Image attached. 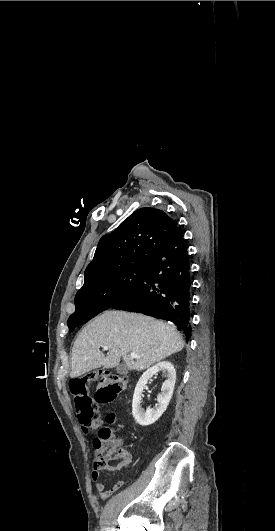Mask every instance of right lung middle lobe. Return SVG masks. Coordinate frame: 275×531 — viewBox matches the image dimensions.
Here are the masks:
<instances>
[{
    "label": "right lung middle lobe",
    "instance_id": "1",
    "mask_svg": "<svg viewBox=\"0 0 275 531\" xmlns=\"http://www.w3.org/2000/svg\"><path fill=\"white\" fill-rule=\"evenodd\" d=\"M146 266H131L106 273L86 283L76 293V311L69 317V331L121 302L140 281Z\"/></svg>",
    "mask_w": 275,
    "mask_h": 531
}]
</instances>
